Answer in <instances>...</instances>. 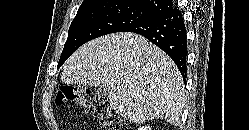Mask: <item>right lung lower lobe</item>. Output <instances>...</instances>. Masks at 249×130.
I'll list each match as a JSON object with an SVG mask.
<instances>
[{
  "mask_svg": "<svg viewBox=\"0 0 249 130\" xmlns=\"http://www.w3.org/2000/svg\"><path fill=\"white\" fill-rule=\"evenodd\" d=\"M140 34L166 52L186 78L187 37L180 10L173 7L152 20L126 30Z\"/></svg>",
  "mask_w": 249,
  "mask_h": 130,
  "instance_id": "obj_1",
  "label": "right lung lower lobe"
}]
</instances>
